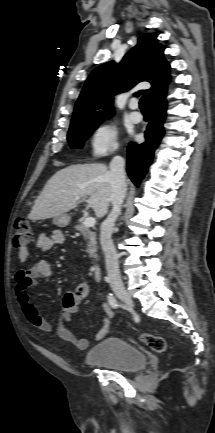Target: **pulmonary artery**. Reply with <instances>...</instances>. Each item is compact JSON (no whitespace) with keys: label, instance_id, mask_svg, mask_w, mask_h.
Returning a JSON list of instances; mask_svg holds the SVG:
<instances>
[{"label":"pulmonary artery","instance_id":"e3ab8cb5","mask_svg":"<svg viewBox=\"0 0 215 433\" xmlns=\"http://www.w3.org/2000/svg\"><path fill=\"white\" fill-rule=\"evenodd\" d=\"M129 108L131 109L130 119L135 123L140 122L142 120V115L140 112H138L136 110L137 109V102L135 100H133L129 103Z\"/></svg>","mask_w":215,"mask_h":433}]
</instances>
